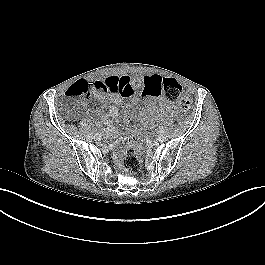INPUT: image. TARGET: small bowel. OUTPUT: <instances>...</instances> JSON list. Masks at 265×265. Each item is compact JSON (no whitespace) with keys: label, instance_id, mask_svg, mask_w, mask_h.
<instances>
[{"label":"small bowel","instance_id":"small-bowel-1","mask_svg":"<svg viewBox=\"0 0 265 265\" xmlns=\"http://www.w3.org/2000/svg\"><path fill=\"white\" fill-rule=\"evenodd\" d=\"M163 77L158 74L146 75L143 77L131 78L129 76L109 75L106 77H99L93 80L95 86L94 97L97 100H103L105 92H109L110 105L108 113L111 118H118L119 107L122 104V98L131 102L133 105H137L139 102V92L143 99L155 97L152 94L153 86L152 81L154 79L161 80ZM122 97V98H121ZM156 113L170 110L171 107L167 106L163 100L159 99L156 104ZM144 111H136L133 113L135 120L143 119ZM109 123L108 120L104 121Z\"/></svg>","mask_w":265,"mask_h":265}]
</instances>
